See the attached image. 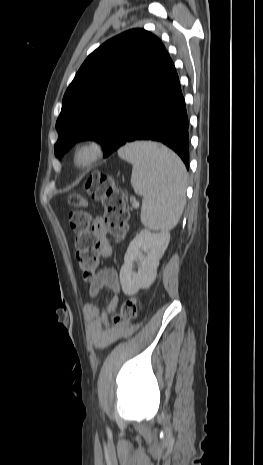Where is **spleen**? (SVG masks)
I'll return each instance as SVG.
<instances>
[{
	"instance_id": "3e777b00",
	"label": "spleen",
	"mask_w": 263,
	"mask_h": 465,
	"mask_svg": "<svg viewBox=\"0 0 263 465\" xmlns=\"http://www.w3.org/2000/svg\"><path fill=\"white\" fill-rule=\"evenodd\" d=\"M118 154L132 163L131 184L143 196L141 222L155 231L173 229L184 209L187 171L182 160L164 146L135 142Z\"/></svg>"
}]
</instances>
